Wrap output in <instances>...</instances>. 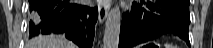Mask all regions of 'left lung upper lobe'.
Returning <instances> with one entry per match:
<instances>
[{"label": "left lung upper lobe", "instance_id": "5c2ea615", "mask_svg": "<svg viewBox=\"0 0 213 48\" xmlns=\"http://www.w3.org/2000/svg\"><path fill=\"white\" fill-rule=\"evenodd\" d=\"M183 1H185V2L189 3V0H183Z\"/></svg>", "mask_w": 213, "mask_h": 48}]
</instances>
